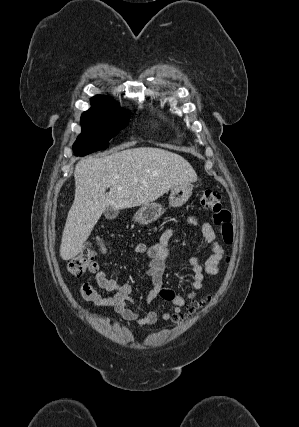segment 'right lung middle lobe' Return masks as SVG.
<instances>
[{
	"label": "right lung middle lobe",
	"instance_id": "obj_1",
	"mask_svg": "<svg viewBox=\"0 0 299 427\" xmlns=\"http://www.w3.org/2000/svg\"><path fill=\"white\" fill-rule=\"evenodd\" d=\"M130 111L118 104H92L81 116L82 133L73 145L76 155L94 152L99 146L105 149L108 141L128 123Z\"/></svg>",
	"mask_w": 299,
	"mask_h": 427
}]
</instances>
